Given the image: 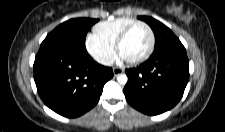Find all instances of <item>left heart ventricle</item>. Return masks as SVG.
Masks as SVG:
<instances>
[{
    "label": "left heart ventricle",
    "instance_id": "1",
    "mask_svg": "<svg viewBox=\"0 0 225 132\" xmlns=\"http://www.w3.org/2000/svg\"><path fill=\"white\" fill-rule=\"evenodd\" d=\"M150 36L143 26L134 28L120 48V55L125 60H132L142 56L148 49Z\"/></svg>",
    "mask_w": 225,
    "mask_h": 132
}]
</instances>
